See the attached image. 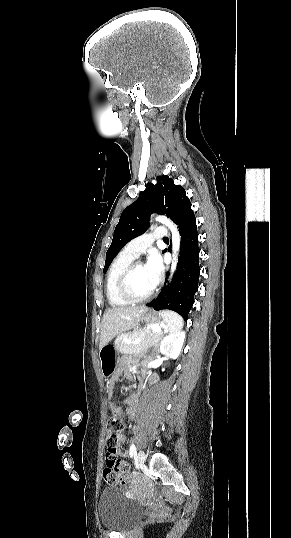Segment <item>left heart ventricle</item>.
<instances>
[{
	"mask_svg": "<svg viewBox=\"0 0 291 538\" xmlns=\"http://www.w3.org/2000/svg\"><path fill=\"white\" fill-rule=\"evenodd\" d=\"M131 285L133 292L139 296L147 294L154 287L142 264L136 267L132 276Z\"/></svg>",
	"mask_w": 291,
	"mask_h": 538,
	"instance_id": "b2bd125f",
	"label": "left heart ventricle"
}]
</instances>
